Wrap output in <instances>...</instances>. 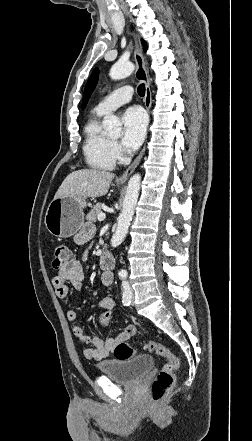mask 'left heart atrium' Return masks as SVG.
Wrapping results in <instances>:
<instances>
[{
    "label": "left heart atrium",
    "instance_id": "1",
    "mask_svg": "<svg viewBox=\"0 0 252 441\" xmlns=\"http://www.w3.org/2000/svg\"><path fill=\"white\" fill-rule=\"evenodd\" d=\"M122 144L129 150L137 149L144 140L147 116L139 106L129 107L123 114Z\"/></svg>",
    "mask_w": 252,
    "mask_h": 441
}]
</instances>
